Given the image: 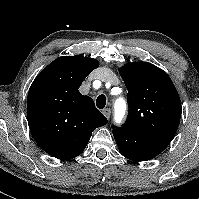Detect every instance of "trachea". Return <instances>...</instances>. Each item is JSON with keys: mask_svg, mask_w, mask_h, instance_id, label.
<instances>
[{"mask_svg": "<svg viewBox=\"0 0 199 199\" xmlns=\"http://www.w3.org/2000/svg\"><path fill=\"white\" fill-rule=\"evenodd\" d=\"M96 106L99 109H104L106 106V97L105 95H99L96 100Z\"/></svg>", "mask_w": 199, "mask_h": 199, "instance_id": "obj_1", "label": "trachea"}]
</instances>
